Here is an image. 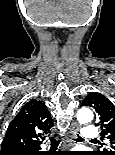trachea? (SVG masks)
I'll list each match as a JSON object with an SVG mask.
<instances>
[{"label":"trachea","instance_id":"3493384b","mask_svg":"<svg viewBox=\"0 0 115 155\" xmlns=\"http://www.w3.org/2000/svg\"><path fill=\"white\" fill-rule=\"evenodd\" d=\"M49 140L51 142V145H58L60 143L59 140H57L54 136L49 137ZM75 141H83L84 139L81 138L79 135L76 139H74Z\"/></svg>","mask_w":115,"mask_h":155}]
</instances>
